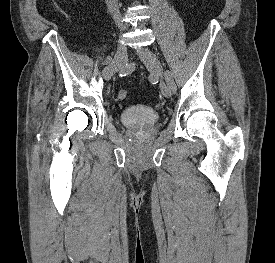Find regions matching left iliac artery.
I'll use <instances>...</instances> for the list:
<instances>
[{
    "label": "left iliac artery",
    "instance_id": "1",
    "mask_svg": "<svg viewBox=\"0 0 275 263\" xmlns=\"http://www.w3.org/2000/svg\"><path fill=\"white\" fill-rule=\"evenodd\" d=\"M165 79L167 83L172 87L173 91H176V84L172 78V74L169 71L165 72Z\"/></svg>",
    "mask_w": 275,
    "mask_h": 263
}]
</instances>
